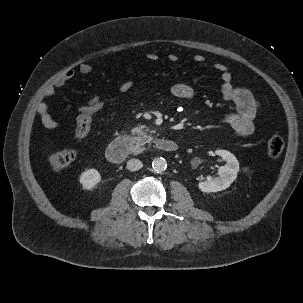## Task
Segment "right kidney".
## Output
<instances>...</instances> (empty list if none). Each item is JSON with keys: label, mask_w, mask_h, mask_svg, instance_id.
<instances>
[{"label": "right kidney", "mask_w": 303, "mask_h": 303, "mask_svg": "<svg viewBox=\"0 0 303 303\" xmlns=\"http://www.w3.org/2000/svg\"><path fill=\"white\" fill-rule=\"evenodd\" d=\"M101 180V175L96 169H88L81 173L79 182L84 190H93Z\"/></svg>", "instance_id": "ca27d5eb"}]
</instances>
